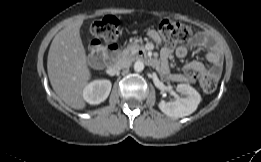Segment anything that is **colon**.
Wrapping results in <instances>:
<instances>
[{"label":"colon","instance_id":"1","mask_svg":"<svg viewBox=\"0 0 261 162\" xmlns=\"http://www.w3.org/2000/svg\"><path fill=\"white\" fill-rule=\"evenodd\" d=\"M90 31L94 38L89 51L90 58L95 63H103L106 48L102 42L111 43L117 40L120 33V19L116 15H106L95 21L91 25ZM158 32L170 46L183 43L191 38V28L188 25L170 19L162 20L158 24ZM198 82L206 93L213 92L217 86L216 77L209 73L201 74Z\"/></svg>","mask_w":261,"mask_h":162}]
</instances>
